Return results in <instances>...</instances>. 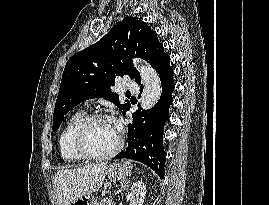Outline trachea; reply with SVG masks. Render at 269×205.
I'll list each match as a JSON object with an SVG mask.
<instances>
[{
	"mask_svg": "<svg viewBox=\"0 0 269 205\" xmlns=\"http://www.w3.org/2000/svg\"><path fill=\"white\" fill-rule=\"evenodd\" d=\"M126 95H131V93L130 92H126Z\"/></svg>",
	"mask_w": 269,
	"mask_h": 205,
	"instance_id": "3493384b",
	"label": "trachea"
}]
</instances>
